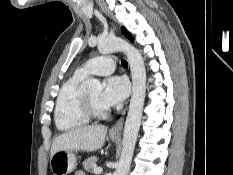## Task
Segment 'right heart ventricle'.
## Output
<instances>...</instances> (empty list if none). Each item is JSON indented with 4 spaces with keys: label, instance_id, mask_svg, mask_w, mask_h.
<instances>
[{
    "label": "right heart ventricle",
    "instance_id": "right-heart-ventricle-1",
    "mask_svg": "<svg viewBox=\"0 0 233 175\" xmlns=\"http://www.w3.org/2000/svg\"><path fill=\"white\" fill-rule=\"evenodd\" d=\"M85 76L75 73L61 86L54 108V121L60 131H72L89 123L80 108Z\"/></svg>",
    "mask_w": 233,
    "mask_h": 175
}]
</instances>
